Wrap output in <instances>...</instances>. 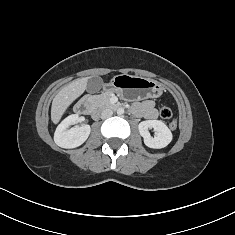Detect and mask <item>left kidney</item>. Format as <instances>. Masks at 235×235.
Instances as JSON below:
<instances>
[{
	"label": "left kidney",
	"mask_w": 235,
	"mask_h": 235,
	"mask_svg": "<svg viewBox=\"0 0 235 235\" xmlns=\"http://www.w3.org/2000/svg\"><path fill=\"white\" fill-rule=\"evenodd\" d=\"M149 128H154L155 137L149 133ZM139 133L144 139V144L149 148L161 149L172 141L170 129L160 120H146L138 125Z\"/></svg>",
	"instance_id": "obj_1"
}]
</instances>
